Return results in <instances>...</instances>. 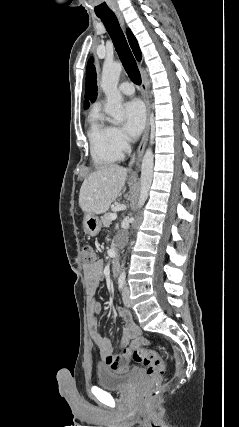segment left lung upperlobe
I'll return each instance as SVG.
<instances>
[{"label":"left lung upper lobe","instance_id":"left-lung-upper-lobe-1","mask_svg":"<svg viewBox=\"0 0 239 427\" xmlns=\"http://www.w3.org/2000/svg\"><path fill=\"white\" fill-rule=\"evenodd\" d=\"M86 84H85V103L84 108L89 107V101L94 102L97 98V85H96V71L93 65V59L90 58L86 70Z\"/></svg>","mask_w":239,"mask_h":427}]
</instances>
